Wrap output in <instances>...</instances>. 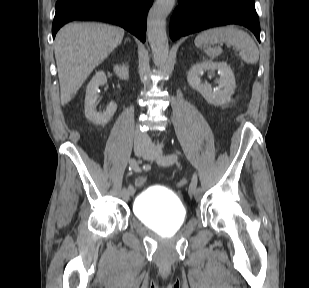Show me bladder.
<instances>
[{"label":"bladder","instance_id":"1","mask_svg":"<svg viewBox=\"0 0 309 288\" xmlns=\"http://www.w3.org/2000/svg\"><path fill=\"white\" fill-rule=\"evenodd\" d=\"M133 210L142 224L162 233L179 230L187 218L180 197L156 186L147 187L136 196Z\"/></svg>","mask_w":309,"mask_h":288}]
</instances>
